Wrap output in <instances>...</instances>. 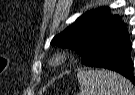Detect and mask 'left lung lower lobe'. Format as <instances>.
Returning <instances> with one entry per match:
<instances>
[{
  "label": "left lung lower lobe",
  "instance_id": "1",
  "mask_svg": "<svg viewBox=\"0 0 135 95\" xmlns=\"http://www.w3.org/2000/svg\"><path fill=\"white\" fill-rule=\"evenodd\" d=\"M132 46L127 29L105 37L94 54L83 64L89 67L106 68L118 72L135 85L133 62L130 57Z\"/></svg>",
  "mask_w": 135,
  "mask_h": 95
}]
</instances>
